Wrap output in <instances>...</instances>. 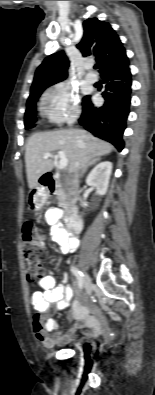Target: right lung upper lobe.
<instances>
[{
	"label": "right lung upper lobe",
	"instance_id": "1",
	"mask_svg": "<svg viewBox=\"0 0 155 395\" xmlns=\"http://www.w3.org/2000/svg\"><path fill=\"white\" fill-rule=\"evenodd\" d=\"M84 35L77 48L84 57H98L99 72L128 63L126 51L116 32L110 24L97 18H89L83 22ZM68 57L64 52L56 53L44 59L37 68L31 87L30 97L52 84L67 77ZM29 97V98H30Z\"/></svg>",
	"mask_w": 155,
	"mask_h": 395
}]
</instances>
